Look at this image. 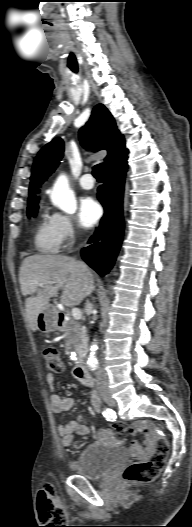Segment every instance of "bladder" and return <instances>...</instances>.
I'll use <instances>...</instances> for the list:
<instances>
[{
    "mask_svg": "<svg viewBox=\"0 0 192 527\" xmlns=\"http://www.w3.org/2000/svg\"><path fill=\"white\" fill-rule=\"evenodd\" d=\"M126 452L117 446L95 443L87 446L73 462L76 474L99 480L126 460Z\"/></svg>",
    "mask_w": 192,
    "mask_h": 527,
    "instance_id": "1",
    "label": "bladder"
}]
</instances>
